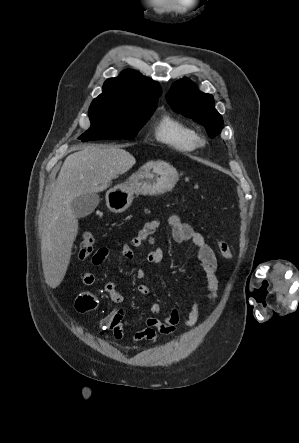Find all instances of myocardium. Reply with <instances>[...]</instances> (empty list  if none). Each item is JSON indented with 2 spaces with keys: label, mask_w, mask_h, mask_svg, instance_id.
<instances>
[{
  "label": "myocardium",
  "mask_w": 299,
  "mask_h": 443,
  "mask_svg": "<svg viewBox=\"0 0 299 443\" xmlns=\"http://www.w3.org/2000/svg\"><path fill=\"white\" fill-rule=\"evenodd\" d=\"M203 143H204L203 139L199 138V139H198V144H199V145H202Z\"/></svg>",
  "instance_id": "1"
}]
</instances>
